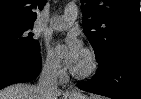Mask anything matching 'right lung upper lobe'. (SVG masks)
<instances>
[{"label": "right lung upper lobe", "mask_w": 141, "mask_h": 99, "mask_svg": "<svg viewBox=\"0 0 141 99\" xmlns=\"http://www.w3.org/2000/svg\"><path fill=\"white\" fill-rule=\"evenodd\" d=\"M45 3L46 0H0V23H34L37 17L34 9L41 10Z\"/></svg>", "instance_id": "obj_1"}]
</instances>
